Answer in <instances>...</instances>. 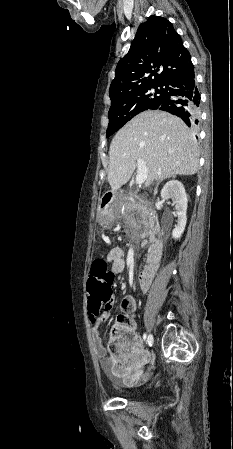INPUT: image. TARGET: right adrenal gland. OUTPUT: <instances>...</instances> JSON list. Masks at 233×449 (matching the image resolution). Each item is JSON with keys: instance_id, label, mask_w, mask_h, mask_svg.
I'll list each match as a JSON object with an SVG mask.
<instances>
[{"instance_id": "right-adrenal-gland-1", "label": "right adrenal gland", "mask_w": 233, "mask_h": 449, "mask_svg": "<svg viewBox=\"0 0 233 449\" xmlns=\"http://www.w3.org/2000/svg\"><path fill=\"white\" fill-rule=\"evenodd\" d=\"M173 177H174V176H173ZM164 179H165V178H162V179H160V180L157 182V185H156V188H155V191H154L155 194L158 193V186H159V184H160Z\"/></svg>"}]
</instances>
